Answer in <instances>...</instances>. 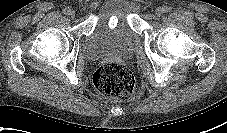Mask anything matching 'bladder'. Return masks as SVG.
<instances>
[{"mask_svg":"<svg viewBox=\"0 0 227 133\" xmlns=\"http://www.w3.org/2000/svg\"><path fill=\"white\" fill-rule=\"evenodd\" d=\"M136 6L134 0H106L101 5L99 19L85 45L88 58L126 57L133 52L136 35L130 27V16ZM112 17L116 22H111Z\"/></svg>","mask_w":227,"mask_h":133,"instance_id":"31cf9c89","label":"bladder"}]
</instances>
